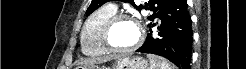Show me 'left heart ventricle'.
I'll return each instance as SVG.
<instances>
[{"instance_id":"1","label":"left heart ventricle","mask_w":246,"mask_h":69,"mask_svg":"<svg viewBox=\"0 0 246 69\" xmlns=\"http://www.w3.org/2000/svg\"><path fill=\"white\" fill-rule=\"evenodd\" d=\"M138 37L135 24L129 20L119 21L110 35V42L116 48H127L133 45Z\"/></svg>"}]
</instances>
